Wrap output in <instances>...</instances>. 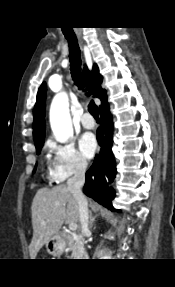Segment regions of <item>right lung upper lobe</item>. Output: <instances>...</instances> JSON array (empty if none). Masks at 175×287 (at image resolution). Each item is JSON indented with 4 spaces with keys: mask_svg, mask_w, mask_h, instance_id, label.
Listing matches in <instances>:
<instances>
[{
    "mask_svg": "<svg viewBox=\"0 0 175 287\" xmlns=\"http://www.w3.org/2000/svg\"><path fill=\"white\" fill-rule=\"evenodd\" d=\"M86 85L90 93L101 100L100 110L108 106L106 91L102 89V76L99 74V69L96 64L93 65V70L89 71L85 66L83 70ZM45 96L46 83L43 82L37 93V101L34 107V122H33V138L34 142L39 143L44 141L45 136Z\"/></svg>",
    "mask_w": 175,
    "mask_h": 287,
    "instance_id": "right-lung-upper-lobe-1",
    "label": "right lung upper lobe"
}]
</instances>
